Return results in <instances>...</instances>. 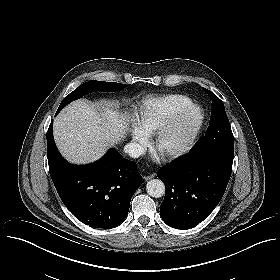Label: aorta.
I'll return each instance as SVG.
<instances>
[{
  "mask_svg": "<svg viewBox=\"0 0 280 280\" xmlns=\"http://www.w3.org/2000/svg\"><path fill=\"white\" fill-rule=\"evenodd\" d=\"M147 193L154 198H160L165 194V184L160 179H152L146 184Z\"/></svg>",
  "mask_w": 280,
  "mask_h": 280,
  "instance_id": "aorta-1",
  "label": "aorta"
}]
</instances>
